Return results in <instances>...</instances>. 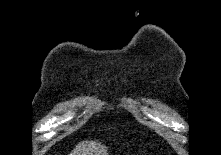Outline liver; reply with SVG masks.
<instances>
[{
    "instance_id": "liver-1",
    "label": "liver",
    "mask_w": 221,
    "mask_h": 155,
    "mask_svg": "<svg viewBox=\"0 0 221 155\" xmlns=\"http://www.w3.org/2000/svg\"><path fill=\"white\" fill-rule=\"evenodd\" d=\"M70 155H108V152L98 141H83L76 145Z\"/></svg>"
}]
</instances>
